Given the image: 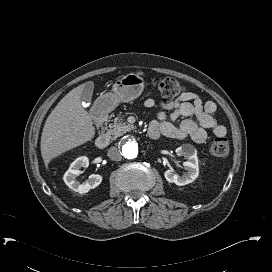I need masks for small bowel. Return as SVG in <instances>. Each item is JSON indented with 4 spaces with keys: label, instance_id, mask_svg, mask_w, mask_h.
<instances>
[{
    "label": "small bowel",
    "instance_id": "obj_1",
    "mask_svg": "<svg viewBox=\"0 0 272 272\" xmlns=\"http://www.w3.org/2000/svg\"><path fill=\"white\" fill-rule=\"evenodd\" d=\"M144 106L153 108L155 101L147 99ZM161 106L165 110H173V114L168 117L164 112H159L151 125H156L160 133L166 137L174 139L188 137L197 143H204L207 139V130H211L217 137H224L227 133L226 127L215 118L216 104L212 101L203 103L195 93H182L176 100L161 103ZM178 116L184 119L176 126L172 121Z\"/></svg>",
    "mask_w": 272,
    "mask_h": 272
}]
</instances>
